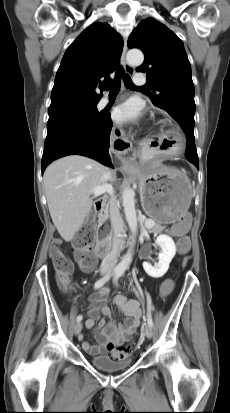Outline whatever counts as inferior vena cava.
Returning <instances> with one entry per match:
<instances>
[{
	"label": "inferior vena cava",
	"instance_id": "602c4592",
	"mask_svg": "<svg viewBox=\"0 0 230 413\" xmlns=\"http://www.w3.org/2000/svg\"><path fill=\"white\" fill-rule=\"evenodd\" d=\"M105 180H111L113 174L111 171L107 170L103 175ZM110 220L111 226L114 230V241L112 249L108 252L101 264V271L109 272L115 266L118 260V256L122 249V245L119 244L117 237L118 234L124 232V222L119 212V204L114 197L110 199Z\"/></svg>",
	"mask_w": 230,
	"mask_h": 413
}]
</instances>
